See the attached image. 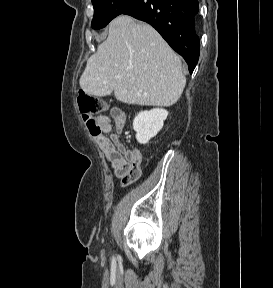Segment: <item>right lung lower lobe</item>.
I'll return each mask as SVG.
<instances>
[{
    "instance_id": "1",
    "label": "right lung lower lobe",
    "mask_w": 273,
    "mask_h": 288,
    "mask_svg": "<svg viewBox=\"0 0 273 288\" xmlns=\"http://www.w3.org/2000/svg\"><path fill=\"white\" fill-rule=\"evenodd\" d=\"M198 0H136L122 14L152 25L187 62L192 73L199 58L200 42L195 31Z\"/></svg>"
}]
</instances>
